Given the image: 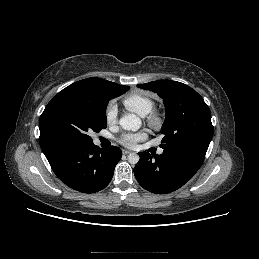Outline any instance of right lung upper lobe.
Here are the masks:
<instances>
[{"label":"right lung upper lobe","instance_id":"right-lung-upper-lobe-1","mask_svg":"<svg viewBox=\"0 0 259 259\" xmlns=\"http://www.w3.org/2000/svg\"><path fill=\"white\" fill-rule=\"evenodd\" d=\"M115 87L125 89L129 86H122L101 78H88L75 82L60 92L71 93L90 101H100L104 98L108 90H111Z\"/></svg>","mask_w":259,"mask_h":259}]
</instances>
